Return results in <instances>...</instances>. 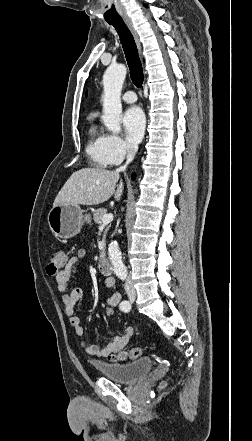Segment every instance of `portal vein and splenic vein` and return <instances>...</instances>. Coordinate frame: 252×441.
I'll list each match as a JSON object with an SVG mask.
<instances>
[{"label": "portal vein and splenic vein", "instance_id": "18ae733b", "mask_svg": "<svg viewBox=\"0 0 252 441\" xmlns=\"http://www.w3.org/2000/svg\"><path fill=\"white\" fill-rule=\"evenodd\" d=\"M112 220H113L112 214H105L102 216V225L105 226V225L109 224L110 222H112Z\"/></svg>", "mask_w": 252, "mask_h": 441}]
</instances>
